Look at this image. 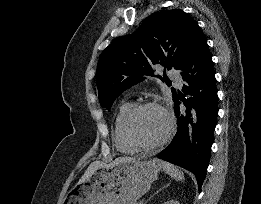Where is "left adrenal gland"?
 <instances>
[{"instance_id":"obj_1","label":"left adrenal gland","mask_w":261,"mask_h":204,"mask_svg":"<svg viewBox=\"0 0 261 204\" xmlns=\"http://www.w3.org/2000/svg\"><path fill=\"white\" fill-rule=\"evenodd\" d=\"M167 186L162 187L161 189H159L158 191L155 192V194H157L159 191H161L162 189L166 188ZM155 194H153L149 199H151Z\"/></svg>"}]
</instances>
